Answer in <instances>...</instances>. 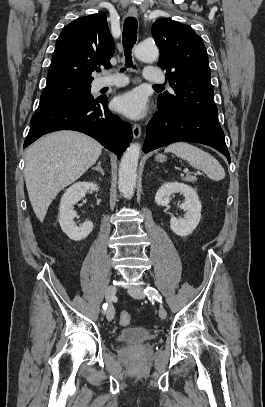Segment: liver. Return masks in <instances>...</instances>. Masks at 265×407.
<instances>
[{"mask_svg": "<svg viewBox=\"0 0 265 407\" xmlns=\"http://www.w3.org/2000/svg\"><path fill=\"white\" fill-rule=\"evenodd\" d=\"M101 152L102 145L95 139L69 130L48 134L28 148L24 178L40 222L57 194L96 163Z\"/></svg>", "mask_w": 265, "mask_h": 407, "instance_id": "6515ba94", "label": "liver"}]
</instances>
